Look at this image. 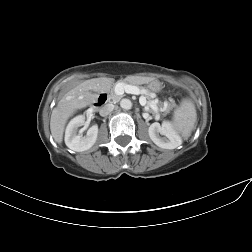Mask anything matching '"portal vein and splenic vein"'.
Wrapping results in <instances>:
<instances>
[{
  "instance_id": "1",
  "label": "portal vein and splenic vein",
  "mask_w": 252,
  "mask_h": 252,
  "mask_svg": "<svg viewBox=\"0 0 252 252\" xmlns=\"http://www.w3.org/2000/svg\"><path fill=\"white\" fill-rule=\"evenodd\" d=\"M115 89H116V92H118L119 94H123L124 92H126L128 94H135V95L140 94V90L138 89V87L132 86V85L118 84V85H116ZM139 102H140L141 105H145L146 104V98L141 96L139 98ZM151 107H154L155 111L158 110L156 105H152Z\"/></svg>"
}]
</instances>
